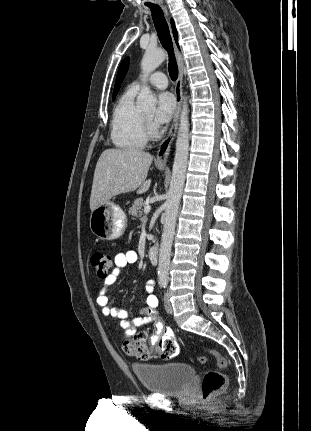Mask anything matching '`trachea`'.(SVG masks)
I'll use <instances>...</instances> for the list:
<instances>
[{"mask_svg": "<svg viewBox=\"0 0 311 431\" xmlns=\"http://www.w3.org/2000/svg\"><path fill=\"white\" fill-rule=\"evenodd\" d=\"M152 13V19L159 37V40L169 55V75L173 82L178 78V65L174 56L172 39L169 32L168 24L165 20L164 13L159 6L149 7Z\"/></svg>", "mask_w": 311, "mask_h": 431, "instance_id": "trachea-1", "label": "trachea"}]
</instances>
